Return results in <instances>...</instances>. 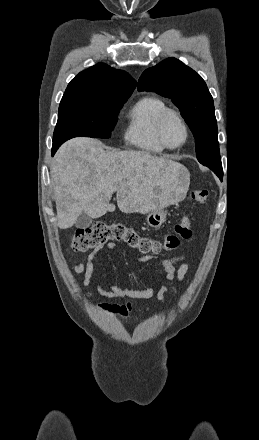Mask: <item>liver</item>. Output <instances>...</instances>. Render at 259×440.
Listing matches in <instances>:
<instances>
[{
  "mask_svg": "<svg viewBox=\"0 0 259 440\" xmlns=\"http://www.w3.org/2000/svg\"><path fill=\"white\" fill-rule=\"evenodd\" d=\"M182 171L187 173L179 163L147 152L108 151L97 139H71L59 148L51 168L58 226L72 227L82 212L91 218L113 212L114 192L126 214L175 204L187 189Z\"/></svg>",
  "mask_w": 259,
  "mask_h": 440,
  "instance_id": "obj_1",
  "label": "liver"
}]
</instances>
